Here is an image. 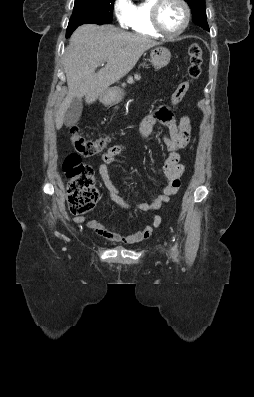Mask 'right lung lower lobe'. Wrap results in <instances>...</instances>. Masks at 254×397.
<instances>
[{"label": "right lung lower lobe", "instance_id": "right-lung-lower-lobe-1", "mask_svg": "<svg viewBox=\"0 0 254 397\" xmlns=\"http://www.w3.org/2000/svg\"><path fill=\"white\" fill-rule=\"evenodd\" d=\"M78 26H74V27H70V28H67V36H66V38H68V37H70V35L73 33V31L77 28Z\"/></svg>", "mask_w": 254, "mask_h": 397}]
</instances>
